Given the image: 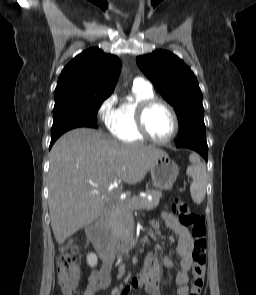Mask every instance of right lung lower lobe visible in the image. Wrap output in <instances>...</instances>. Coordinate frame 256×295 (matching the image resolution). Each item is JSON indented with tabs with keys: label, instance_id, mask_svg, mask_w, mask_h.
<instances>
[{
	"label": "right lung lower lobe",
	"instance_id": "right-lung-lower-lobe-1",
	"mask_svg": "<svg viewBox=\"0 0 256 295\" xmlns=\"http://www.w3.org/2000/svg\"><path fill=\"white\" fill-rule=\"evenodd\" d=\"M76 127H97L96 126V119H90L87 122H85L83 125L81 126H75V127H71V128H67V129H63V130H58L55 132H51V143H50V148L53 145V143L57 140V138L62 135L64 132L76 128Z\"/></svg>",
	"mask_w": 256,
	"mask_h": 295
}]
</instances>
